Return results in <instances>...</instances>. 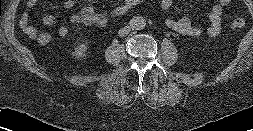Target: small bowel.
<instances>
[{"label":"small bowel","mask_w":253,"mask_h":131,"mask_svg":"<svg viewBox=\"0 0 253 131\" xmlns=\"http://www.w3.org/2000/svg\"><path fill=\"white\" fill-rule=\"evenodd\" d=\"M40 0H26L25 9L19 20V26L21 30L32 40L37 41L43 45V39H51V35L48 32H40L30 22L29 13L36 6ZM162 9L167 10L171 8L174 0H159ZM231 3V0H217L210 12L208 13L209 26L206 29L208 37H217L222 30V14L226 6ZM76 4L75 0H64L62 6L64 9H71ZM42 22L46 26H54L57 23V18L54 15L47 14L42 18ZM70 23L72 25H82L85 27H105L108 23V17L105 13H100L90 5L83 6L79 12L73 14L70 17ZM165 25L181 35L188 37H199L203 31L199 27L193 25L192 21L188 17H182L179 19L167 18ZM69 28L61 26L58 28V35L62 38H66L69 35Z\"/></svg>","instance_id":"obj_1"}]
</instances>
